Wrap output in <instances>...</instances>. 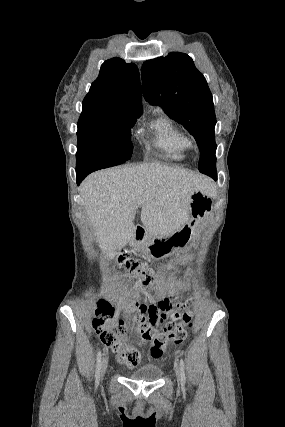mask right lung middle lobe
<instances>
[{"label": "right lung middle lobe", "mask_w": 285, "mask_h": 427, "mask_svg": "<svg viewBox=\"0 0 285 427\" xmlns=\"http://www.w3.org/2000/svg\"><path fill=\"white\" fill-rule=\"evenodd\" d=\"M137 118L77 124L76 172H93L129 160L133 152L130 129Z\"/></svg>", "instance_id": "right-lung-middle-lobe-1"}]
</instances>
